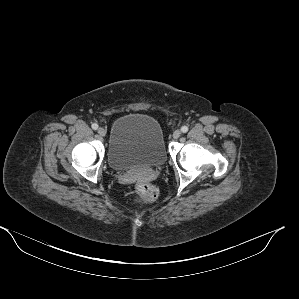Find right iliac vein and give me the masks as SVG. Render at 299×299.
<instances>
[{
    "instance_id": "63e3f726",
    "label": "right iliac vein",
    "mask_w": 299,
    "mask_h": 299,
    "mask_svg": "<svg viewBox=\"0 0 299 299\" xmlns=\"http://www.w3.org/2000/svg\"><path fill=\"white\" fill-rule=\"evenodd\" d=\"M98 134H99L100 136H105V135H106V130H105L104 128L100 127V128L98 129Z\"/></svg>"
}]
</instances>
